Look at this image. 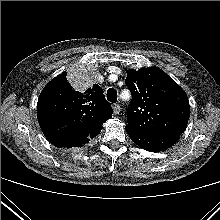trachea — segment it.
I'll list each match as a JSON object with an SVG mask.
<instances>
[{
    "instance_id": "trachea-1",
    "label": "trachea",
    "mask_w": 220,
    "mask_h": 220,
    "mask_svg": "<svg viewBox=\"0 0 220 220\" xmlns=\"http://www.w3.org/2000/svg\"><path fill=\"white\" fill-rule=\"evenodd\" d=\"M107 100L116 103L117 101V91L114 88H109L107 91Z\"/></svg>"
}]
</instances>
